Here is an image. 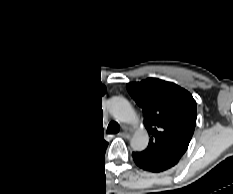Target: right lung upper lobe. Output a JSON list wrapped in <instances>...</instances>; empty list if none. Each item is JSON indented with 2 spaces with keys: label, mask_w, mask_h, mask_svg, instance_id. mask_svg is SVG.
<instances>
[{
  "label": "right lung upper lobe",
  "mask_w": 233,
  "mask_h": 194,
  "mask_svg": "<svg viewBox=\"0 0 233 194\" xmlns=\"http://www.w3.org/2000/svg\"><path fill=\"white\" fill-rule=\"evenodd\" d=\"M95 93L68 89L48 102L45 130L53 152L71 166L92 165L104 153L107 142L95 131L90 112Z\"/></svg>",
  "instance_id": "obj_1"
}]
</instances>
